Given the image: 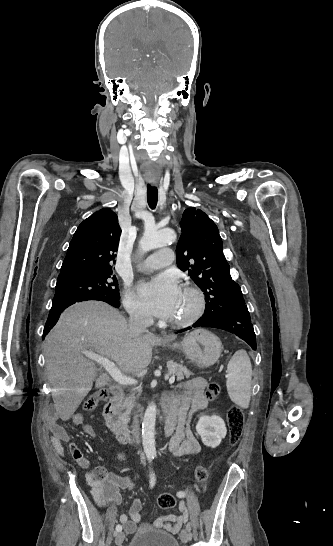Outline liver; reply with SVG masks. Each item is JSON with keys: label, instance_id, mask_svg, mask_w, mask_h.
I'll list each match as a JSON object with an SVG mask.
<instances>
[{"label": "liver", "instance_id": "liver-1", "mask_svg": "<svg viewBox=\"0 0 333 546\" xmlns=\"http://www.w3.org/2000/svg\"><path fill=\"white\" fill-rule=\"evenodd\" d=\"M176 336L167 337L172 341ZM162 339L134 334L125 318L113 307L98 301L76 303L66 309L44 343L46 373L54 406L62 420L74 414L92 388L97 367L87 351L114 361L125 374L139 373L152 359V348ZM111 381L102 374L95 386Z\"/></svg>", "mask_w": 333, "mask_h": 546}]
</instances>
